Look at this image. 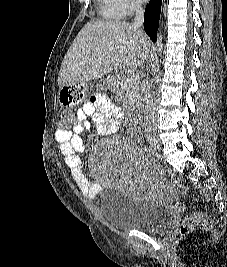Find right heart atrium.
Segmentation results:
<instances>
[{"label":"right heart atrium","instance_id":"obj_1","mask_svg":"<svg viewBox=\"0 0 227 267\" xmlns=\"http://www.w3.org/2000/svg\"><path fill=\"white\" fill-rule=\"evenodd\" d=\"M123 15H131L140 8L141 0H116Z\"/></svg>","mask_w":227,"mask_h":267}]
</instances>
